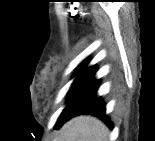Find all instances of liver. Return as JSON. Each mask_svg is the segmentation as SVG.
Listing matches in <instances>:
<instances>
[{
    "instance_id": "liver-1",
    "label": "liver",
    "mask_w": 155,
    "mask_h": 141,
    "mask_svg": "<svg viewBox=\"0 0 155 141\" xmlns=\"http://www.w3.org/2000/svg\"><path fill=\"white\" fill-rule=\"evenodd\" d=\"M109 136L108 127L99 119L78 116L60 129L57 141H109Z\"/></svg>"
}]
</instances>
